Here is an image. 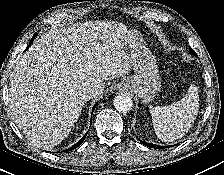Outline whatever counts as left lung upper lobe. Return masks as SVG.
<instances>
[{
	"label": "left lung upper lobe",
	"instance_id": "left-lung-upper-lobe-1",
	"mask_svg": "<svg viewBox=\"0 0 224 175\" xmlns=\"http://www.w3.org/2000/svg\"><path fill=\"white\" fill-rule=\"evenodd\" d=\"M190 51L192 54L196 55V53L190 48Z\"/></svg>",
	"mask_w": 224,
	"mask_h": 175
}]
</instances>
